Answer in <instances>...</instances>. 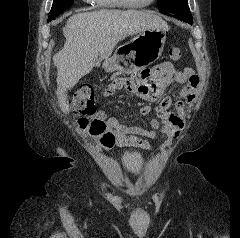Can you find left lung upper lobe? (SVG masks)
Here are the masks:
<instances>
[{
	"instance_id": "5c2ea615",
	"label": "left lung upper lobe",
	"mask_w": 240,
	"mask_h": 238,
	"mask_svg": "<svg viewBox=\"0 0 240 238\" xmlns=\"http://www.w3.org/2000/svg\"><path fill=\"white\" fill-rule=\"evenodd\" d=\"M159 10L175 16L192 19L187 0H158Z\"/></svg>"
}]
</instances>
